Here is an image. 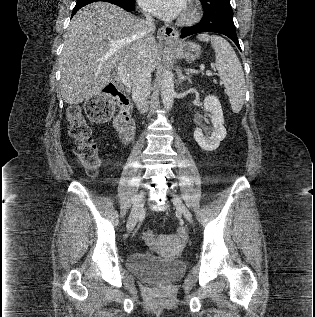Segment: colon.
Instances as JSON below:
<instances>
[{
  "instance_id": "obj_1",
  "label": "colon",
  "mask_w": 315,
  "mask_h": 317,
  "mask_svg": "<svg viewBox=\"0 0 315 317\" xmlns=\"http://www.w3.org/2000/svg\"><path fill=\"white\" fill-rule=\"evenodd\" d=\"M115 91L108 89L90 98L84 106V113L77 106H71L67 112L69 133L76 142V154L86 172L94 176L97 174L101 160L99 149L94 142L92 130L86 117L103 122L111 118L114 111ZM142 239L148 245H153L155 234L151 229L142 230Z\"/></svg>"
}]
</instances>
